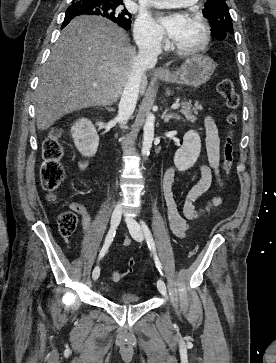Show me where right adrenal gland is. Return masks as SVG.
Instances as JSON below:
<instances>
[{
  "label": "right adrenal gland",
  "instance_id": "obj_1",
  "mask_svg": "<svg viewBox=\"0 0 276 363\" xmlns=\"http://www.w3.org/2000/svg\"><path fill=\"white\" fill-rule=\"evenodd\" d=\"M108 109V111H115L114 109H112V108H107Z\"/></svg>",
  "mask_w": 276,
  "mask_h": 363
}]
</instances>
